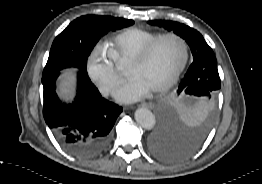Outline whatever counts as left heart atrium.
<instances>
[{"label": "left heart atrium", "mask_w": 262, "mask_h": 184, "mask_svg": "<svg viewBox=\"0 0 262 184\" xmlns=\"http://www.w3.org/2000/svg\"><path fill=\"white\" fill-rule=\"evenodd\" d=\"M150 91L141 80L136 77H131L125 81L114 93L115 98L120 102L130 103L135 102Z\"/></svg>", "instance_id": "1"}]
</instances>
